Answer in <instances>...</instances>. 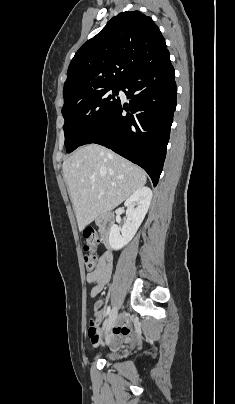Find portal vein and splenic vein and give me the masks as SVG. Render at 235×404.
<instances>
[{"label": "portal vein and splenic vein", "mask_w": 235, "mask_h": 404, "mask_svg": "<svg viewBox=\"0 0 235 404\" xmlns=\"http://www.w3.org/2000/svg\"><path fill=\"white\" fill-rule=\"evenodd\" d=\"M90 180H91V181H95V177H91Z\"/></svg>", "instance_id": "1"}]
</instances>
